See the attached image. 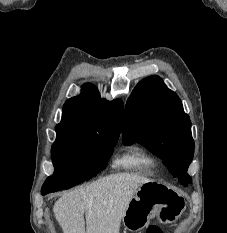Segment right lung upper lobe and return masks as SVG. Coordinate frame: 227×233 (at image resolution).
Segmentation results:
<instances>
[{
    "mask_svg": "<svg viewBox=\"0 0 227 233\" xmlns=\"http://www.w3.org/2000/svg\"><path fill=\"white\" fill-rule=\"evenodd\" d=\"M123 119L121 99H102L97 88L87 83L82 94L66 101L61 122L56 126L57 136H75L97 139L118 135Z\"/></svg>",
    "mask_w": 227,
    "mask_h": 233,
    "instance_id": "1",
    "label": "right lung upper lobe"
}]
</instances>
